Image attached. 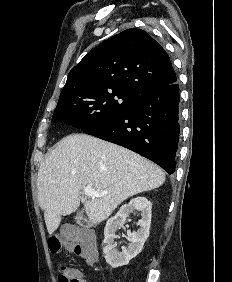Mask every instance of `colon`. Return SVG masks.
Returning a JSON list of instances; mask_svg holds the SVG:
<instances>
[{"mask_svg": "<svg viewBox=\"0 0 232 282\" xmlns=\"http://www.w3.org/2000/svg\"><path fill=\"white\" fill-rule=\"evenodd\" d=\"M48 245L53 253L64 248L82 257L88 263L94 262L97 256L93 236L85 230L66 229L56 233L49 238ZM58 270V282H80V278L67 265L59 264Z\"/></svg>", "mask_w": 232, "mask_h": 282, "instance_id": "1", "label": "colon"}]
</instances>
